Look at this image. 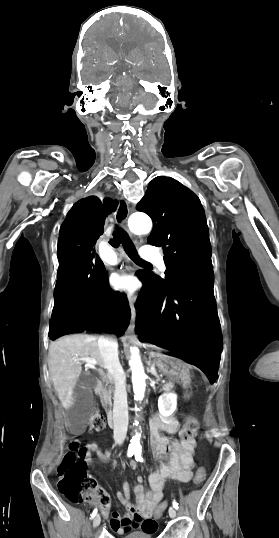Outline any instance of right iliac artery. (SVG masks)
I'll use <instances>...</instances> for the list:
<instances>
[{"label":"right iliac artery","mask_w":279,"mask_h":538,"mask_svg":"<svg viewBox=\"0 0 279 538\" xmlns=\"http://www.w3.org/2000/svg\"><path fill=\"white\" fill-rule=\"evenodd\" d=\"M134 455V451L129 449L128 452H127V456L128 457H131ZM97 514V508L93 510L92 514H91V519H93Z\"/></svg>","instance_id":"obj_1"}]
</instances>
